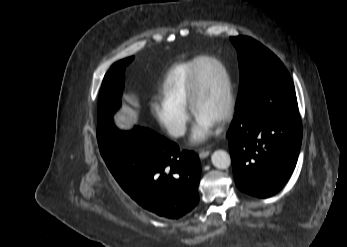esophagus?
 Wrapping results in <instances>:
<instances>
[{"label":"esophagus","mask_w":347,"mask_h":247,"mask_svg":"<svg viewBox=\"0 0 347 247\" xmlns=\"http://www.w3.org/2000/svg\"><path fill=\"white\" fill-rule=\"evenodd\" d=\"M209 154H210V150H208V149H201L200 152H199V157L201 159H204V158L208 157Z\"/></svg>","instance_id":"1"}]
</instances>
